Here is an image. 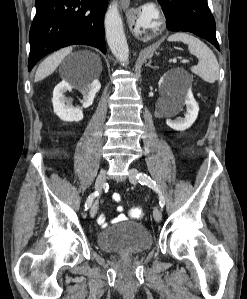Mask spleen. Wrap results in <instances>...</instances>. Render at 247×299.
<instances>
[{
	"label": "spleen",
	"mask_w": 247,
	"mask_h": 299,
	"mask_svg": "<svg viewBox=\"0 0 247 299\" xmlns=\"http://www.w3.org/2000/svg\"><path fill=\"white\" fill-rule=\"evenodd\" d=\"M168 41H181L188 45V50L195 55L198 65L191 67V71L208 83H214L219 78V64L213 51L200 39L188 33H175L168 37Z\"/></svg>",
	"instance_id": "obj_1"
}]
</instances>
